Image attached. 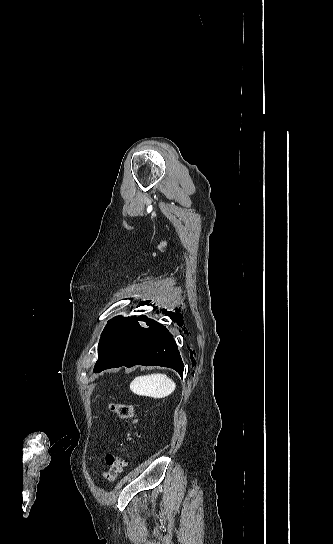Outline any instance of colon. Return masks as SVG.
<instances>
[{"mask_svg":"<svg viewBox=\"0 0 333 544\" xmlns=\"http://www.w3.org/2000/svg\"><path fill=\"white\" fill-rule=\"evenodd\" d=\"M108 409L115 413L121 419L129 421L131 424H136L138 419L133 406L123 403H109ZM107 471L105 477L109 482H114L123 472L127 460L124 454L118 452H109L105 457Z\"/></svg>","mask_w":333,"mask_h":544,"instance_id":"colon-1","label":"colon"}]
</instances>
